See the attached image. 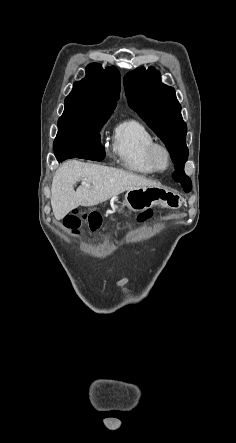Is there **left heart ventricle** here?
<instances>
[{"label":"left heart ventricle","instance_id":"1","mask_svg":"<svg viewBox=\"0 0 236 443\" xmlns=\"http://www.w3.org/2000/svg\"><path fill=\"white\" fill-rule=\"evenodd\" d=\"M158 159H159V164H160V166H161V167H164V166L166 165V158H165L164 153L160 152V153L158 154Z\"/></svg>","mask_w":236,"mask_h":443}]
</instances>
